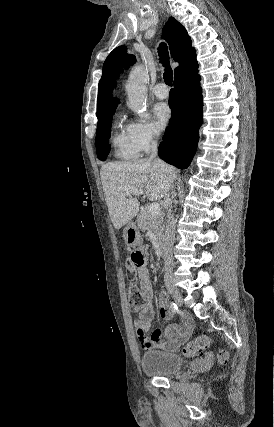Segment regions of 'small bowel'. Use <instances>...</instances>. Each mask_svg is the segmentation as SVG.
<instances>
[{
	"instance_id": "1",
	"label": "small bowel",
	"mask_w": 274,
	"mask_h": 427,
	"mask_svg": "<svg viewBox=\"0 0 274 427\" xmlns=\"http://www.w3.org/2000/svg\"><path fill=\"white\" fill-rule=\"evenodd\" d=\"M142 252L145 256V252L143 250ZM145 262L146 257L144 263L136 268L144 299V304L138 311V317L134 320L138 340L145 352H152L154 350L177 352L181 345L191 335L190 321L185 319L183 325L179 328L175 325H170L166 328L162 325H157L152 329V318L154 313L152 306L153 291ZM169 315L168 300L163 294L159 298V316L162 320H167ZM151 329L152 332L148 335Z\"/></svg>"
}]
</instances>
